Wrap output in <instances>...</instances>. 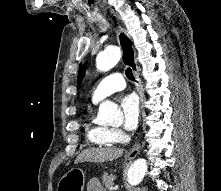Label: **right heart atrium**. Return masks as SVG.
Returning a JSON list of instances; mask_svg holds the SVG:
<instances>
[{"instance_id": "right-heart-atrium-1", "label": "right heart atrium", "mask_w": 221, "mask_h": 191, "mask_svg": "<svg viewBox=\"0 0 221 191\" xmlns=\"http://www.w3.org/2000/svg\"><path fill=\"white\" fill-rule=\"evenodd\" d=\"M111 134L115 142H122L125 139V135L119 128L111 129Z\"/></svg>"}]
</instances>
